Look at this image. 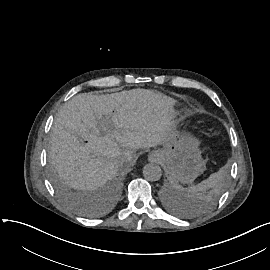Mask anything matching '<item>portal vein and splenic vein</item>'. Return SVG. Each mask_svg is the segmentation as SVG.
<instances>
[{
  "instance_id": "obj_1",
  "label": "portal vein and splenic vein",
  "mask_w": 270,
  "mask_h": 270,
  "mask_svg": "<svg viewBox=\"0 0 270 270\" xmlns=\"http://www.w3.org/2000/svg\"><path fill=\"white\" fill-rule=\"evenodd\" d=\"M100 127H101L102 129H105V128L107 127V124H106L105 122H102V123L100 124Z\"/></svg>"
}]
</instances>
